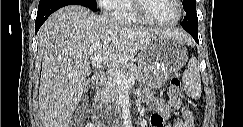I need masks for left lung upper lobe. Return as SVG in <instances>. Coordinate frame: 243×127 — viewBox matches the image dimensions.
I'll list each match as a JSON object with an SVG mask.
<instances>
[{"label":"left lung upper lobe","instance_id":"5c2ea615","mask_svg":"<svg viewBox=\"0 0 243 127\" xmlns=\"http://www.w3.org/2000/svg\"><path fill=\"white\" fill-rule=\"evenodd\" d=\"M183 6L186 11V15H197L195 0H183Z\"/></svg>","mask_w":243,"mask_h":127}]
</instances>
